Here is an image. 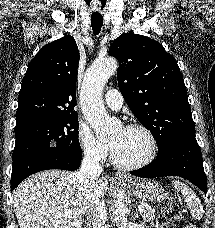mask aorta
Masks as SVG:
<instances>
[{
  "label": "aorta",
  "instance_id": "aorta-1",
  "mask_svg": "<svg viewBox=\"0 0 215 228\" xmlns=\"http://www.w3.org/2000/svg\"><path fill=\"white\" fill-rule=\"evenodd\" d=\"M118 68L117 60H98L92 64L89 74L82 86L81 108L89 126L98 136H107L110 130V118L101 102L102 90L109 78ZM115 220L116 228H127V206L124 194H116Z\"/></svg>",
  "mask_w": 215,
  "mask_h": 228
}]
</instances>
